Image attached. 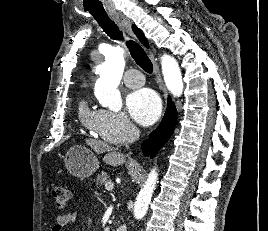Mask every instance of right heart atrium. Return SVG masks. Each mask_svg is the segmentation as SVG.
<instances>
[{"instance_id":"obj_1","label":"right heart atrium","mask_w":268,"mask_h":231,"mask_svg":"<svg viewBox=\"0 0 268 231\" xmlns=\"http://www.w3.org/2000/svg\"><path fill=\"white\" fill-rule=\"evenodd\" d=\"M133 124L123 112L100 109L95 132L102 140L120 144L124 138L131 137Z\"/></svg>"}]
</instances>
